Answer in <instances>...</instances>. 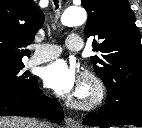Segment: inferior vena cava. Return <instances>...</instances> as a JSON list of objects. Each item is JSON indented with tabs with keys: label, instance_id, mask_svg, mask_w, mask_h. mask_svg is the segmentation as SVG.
Wrapping results in <instances>:
<instances>
[{
	"label": "inferior vena cava",
	"instance_id": "602c4592",
	"mask_svg": "<svg viewBox=\"0 0 142 128\" xmlns=\"http://www.w3.org/2000/svg\"><path fill=\"white\" fill-rule=\"evenodd\" d=\"M37 127L38 128H50L47 122H39Z\"/></svg>",
	"mask_w": 142,
	"mask_h": 128
}]
</instances>
